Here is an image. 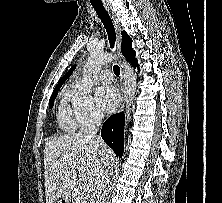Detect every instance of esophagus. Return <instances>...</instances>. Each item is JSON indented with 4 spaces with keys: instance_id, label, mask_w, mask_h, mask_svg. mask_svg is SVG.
Wrapping results in <instances>:
<instances>
[{
    "instance_id": "obj_1",
    "label": "esophagus",
    "mask_w": 222,
    "mask_h": 203,
    "mask_svg": "<svg viewBox=\"0 0 222 203\" xmlns=\"http://www.w3.org/2000/svg\"><path fill=\"white\" fill-rule=\"evenodd\" d=\"M105 8L107 10V12L109 13L115 30H116V35H117V46L118 49H120V45H121V28L118 22V19L115 15V13L113 12V10L111 9V7L107 4H105ZM125 105V89H124V71H123V66L121 65V73H120V103H119V107L118 110L121 111L124 108Z\"/></svg>"
}]
</instances>
